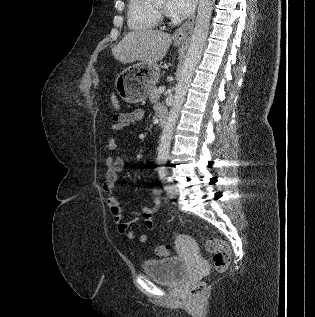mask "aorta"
Masks as SVG:
<instances>
[{"label":"aorta","instance_id":"1","mask_svg":"<svg viewBox=\"0 0 315 317\" xmlns=\"http://www.w3.org/2000/svg\"><path fill=\"white\" fill-rule=\"evenodd\" d=\"M214 3L215 0H199L195 28L180 74V79L175 88L174 101L160 138L158 161H166L169 157L171 139L179 112L206 44Z\"/></svg>","mask_w":315,"mask_h":317}]
</instances>
